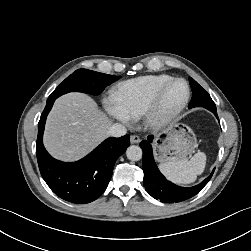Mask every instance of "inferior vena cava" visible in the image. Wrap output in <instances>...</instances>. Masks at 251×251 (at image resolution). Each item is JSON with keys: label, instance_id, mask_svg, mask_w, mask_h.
I'll use <instances>...</instances> for the list:
<instances>
[{"label": "inferior vena cava", "instance_id": "602c4592", "mask_svg": "<svg viewBox=\"0 0 251 251\" xmlns=\"http://www.w3.org/2000/svg\"><path fill=\"white\" fill-rule=\"evenodd\" d=\"M126 133L127 130L122 124L115 123L108 128V135L111 137H121L126 135Z\"/></svg>", "mask_w": 251, "mask_h": 251}]
</instances>
